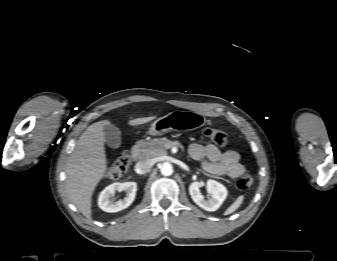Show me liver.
Returning <instances> with one entry per match:
<instances>
[{"label": "liver", "instance_id": "liver-1", "mask_svg": "<svg viewBox=\"0 0 337 261\" xmlns=\"http://www.w3.org/2000/svg\"><path fill=\"white\" fill-rule=\"evenodd\" d=\"M155 117L130 120V126L145 124ZM109 120L91 124L80 136L66 168V193L69 200L88 219L92 218V195L107 170L104 127Z\"/></svg>", "mask_w": 337, "mask_h": 261}]
</instances>
